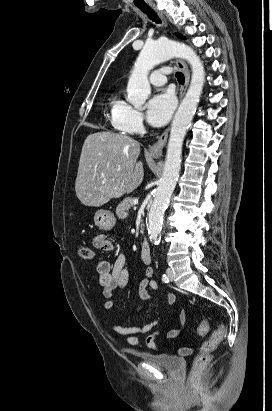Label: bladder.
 <instances>
[{"label": "bladder", "instance_id": "bladder-1", "mask_svg": "<svg viewBox=\"0 0 272 411\" xmlns=\"http://www.w3.org/2000/svg\"><path fill=\"white\" fill-rule=\"evenodd\" d=\"M140 357L155 366L170 372H177L182 368L183 359L178 355L162 353H144Z\"/></svg>", "mask_w": 272, "mask_h": 411}]
</instances>
